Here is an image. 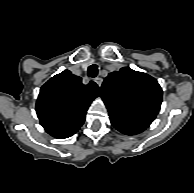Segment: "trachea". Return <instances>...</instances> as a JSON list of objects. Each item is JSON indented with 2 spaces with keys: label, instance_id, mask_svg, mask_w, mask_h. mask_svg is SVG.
I'll return each mask as SVG.
<instances>
[{
  "label": "trachea",
  "instance_id": "obj_1",
  "mask_svg": "<svg viewBox=\"0 0 194 193\" xmlns=\"http://www.w3.org/2000/svg\"><path fill=\"white\" fill-rule=\"evenodd\" d=\"M97 74H98V66L96 64L91 65L88 68V76L94 78L97 76Z\"/></svg>",
  "mask_w": 194,
  "mask_h": 193
}]
</instances>
